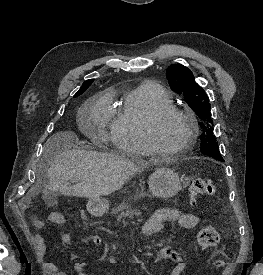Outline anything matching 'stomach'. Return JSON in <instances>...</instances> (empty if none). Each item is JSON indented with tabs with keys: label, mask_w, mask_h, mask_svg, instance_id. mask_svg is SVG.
<instances>
[{
	"label": "stomach",
	"mask_w": 263,
	"mask_h": 275,
	"mask_svg": "<svg viewBox=\"0 0 263 275\" xmlns=\"http://www.w3.org/2000/svg\"><path fill=\"white\" fill-rule=\"evenodd\" d=\"M149 191L158 198H170L181 189V181L178 173L168 167L157 168L148 179ZM87 209L90 214L100 217L109 209V202L105 199H93L88 201Z\"/></svg>",
	"instance_id": "1"
}]
</instances>
